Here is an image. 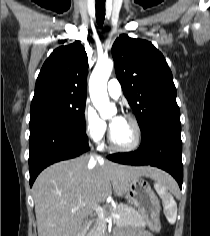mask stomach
Wrapping results in <instances>:
<instances>
[{
    "instance_id": "obj_1",
    "label": "stomach",
    "mask_w": 210,
    "mask_h": 236,
    "mask_svg": "<svg viewBox=\"0 0 210 236\" xmlns=\"http://www.w3.org/2000/svg\"><path fill=\"white\" fill-rule=\"evenodd\" d=\"M127 200L138 208L150 230L161 229L160 203L150 185L143 179H133L126 190Z\"/></svg>"
}]
</instances>
